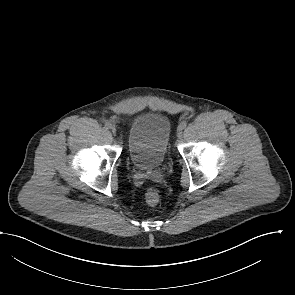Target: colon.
Instances as JSON below:
<instances>
[{"instance_id": "colon-1", "label": "colon", "mask_w": 295, "mask_h": 295, "mask_svg": "<svg viewBox=\"0 0 295 295\" xmlns=\"http://www.w3.org/2000/svg\"><path fill=\"white\" fill-rule=\"evenodd\" d=\"M145 199L149 205H156L159 202V193L155 189H148L145 194Z\"/></svg>"}]
</instances>
